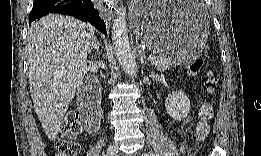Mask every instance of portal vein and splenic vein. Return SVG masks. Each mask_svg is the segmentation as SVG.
<instances>
[{"mask_svg":"<svg viewBox=\"0 0 261 156\" xmlns=\"http://www.w3.org/2000/svg\"><path fill=\"white\" fill-rule=\"evenodd\" d=\"M156 59V56L155 55H149V57H148V60L149 61H153V60H155Z\"/></svg>","mask_w":261,"mask_h":156,"instance_id":"obj_1","label":"portal vein and splenic vein"}]
</instances>
